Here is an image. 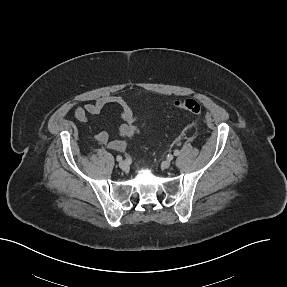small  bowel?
I'll return each instance as SVG.
<instances>
[{
	"label": "small bowel",
	"instance_id": "1",
	"mask_svg": "<svg viewBox=\"0 0 287 287\" xmlns=\"http://www.w3.org/2000/svg\"><path fill=\"white\" fill-rule=\"evenodd\" d=\"M116 105L119 107L120 117L123 123L117 128L115 138H111L106 131H99L95 134L94 140L105 145L114 151H124L127 148L128 141L138 132L136 125L138 116L134 114L128 103L120 96L105 95L93 103H88L83 107H76L73 110L74 117L80 122H87L91 115L100 113L106 106Z\"/></svg>",
	"mask_w": 287,
	"mask_h": 287
}]
</instances>
